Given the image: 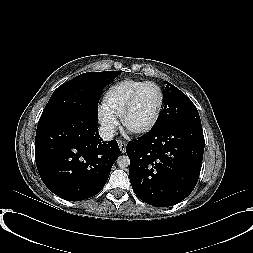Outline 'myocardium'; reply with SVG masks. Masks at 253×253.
<instances>
[{
    "label": "myocardium",
    "instance_id": "1",
    "mask_svg": "<svg viewBox=\"0 0 253 253\" xmlns=\"http://www.w3.org/2000/svg\"><path fill=\"white\" fill-rule=\"evenodd\" d=\"M154 86L157 88V90L159 91V94H160V102H159V105H158V108L151 120V122L146 125L145 127H142V128H138V129H133V128H130L128 125H127V118H128V115L129 113L131 112V110L133 109L137 99H138V96L140 94V92L147 86ZM164 103H165V94H164V91L163 89L161 88V86L159 84H157L156 82H153V81H145L143 82L142 84H140L134 91L133 93L131 94V96L129 97L126 105L124 106L123 108V111L120 115V118H121V123L122 125L124 126V128L129 131L130 133L132 134H135V135H143V134H146L148 132H150L151 130H153V128L156 126V124L158 123L159 121V118L162 114V111H163V107H164Z\"/></svg>",
    "mask_w": 253,
    "mask_h": 253
}]
</instances>
